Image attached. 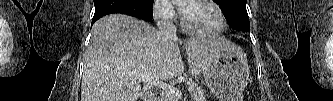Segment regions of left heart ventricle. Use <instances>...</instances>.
<instances>
[{
    "instance_id": "1",
    "label": "left heart ventricle",
    "mask_w": 333,
    "mask_h": 101,
    "mask_svg": "<svg viewBox=\"0 0 333 101\" xmlns=\"http://www.w3.org/2000/svg\"><path fill=\"white\" fill-rule=\"evenodd\" d=\"M183 12L188 25L198 32L209 33L219 26V17L215 10L203 2H185Z\"/></svg>"
}]
</instances>
